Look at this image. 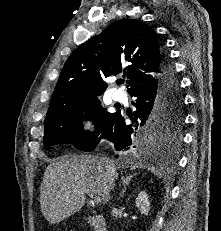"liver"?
Instances as JSON below:
<instances>
[{"label": "liver", "instance_id": "1", "mask_svg": "<svg viewBox=\"0 0 221 231\" xmlns=\"http://www.w3.org/2000/svg\"><path fill=\"white\" fill-rule=\"evenodd\" d=\"M86 191L101 197L104 204L110 200L108 172L100 160L88 155L57 158L46 168L41 184L43 216L51 224L61 222L81 210Z\"/></svg>", "mask_w": 221, "mask_h": 231}]
</instances>
